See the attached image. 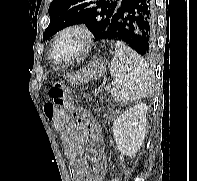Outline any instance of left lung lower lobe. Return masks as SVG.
Returning a JSON list of instances; mask_svg holds the SVG:
<instances>
[{
    "mask_svg": "<svg viewBox=\"0 0 197 181\" xmlns=\"http://www.w3.org/2000/svg\"><path fill=\"white\" fill-rule=\"evenodd\" d=\"M154 0H121L100 39L126 43L142 56L155 52Z\"/></svg>",
    "mask_w": 197,
    "mask_h": 181,
    "instance_id": "obj_1",
    "label": "left lung lower lobe"
}]
</instances>
